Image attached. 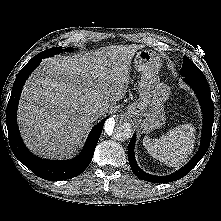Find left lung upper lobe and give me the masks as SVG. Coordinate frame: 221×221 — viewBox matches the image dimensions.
Returning a JSON list of instances; mask_svg holds the SVG:
<instances>
[{
    "mask_svg": "<svg viewBox=\"0 0 221 221\" xmlns=\"http://www.w3.org/2000/svg\"><path fill=\"white\" fill-rule=\"evenodd\" d=\"M181 75L183 77H199L204 76L202 71L186 56H184L183 66L181 68Z\"/></svg>",
    "mask_w": 221,
    "mask_h": 221,
    "instance_id": "obj_1",
    "label": "left lung upper lobe"
}]
</instances>
